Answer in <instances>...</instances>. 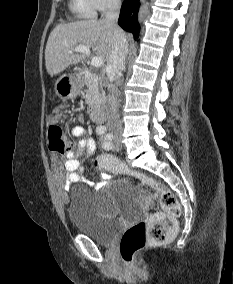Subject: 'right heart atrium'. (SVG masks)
Here are the masks:
<instances>
[{"label":"right heart atrium","instance_id":"obj_1","mask_svg":"<svg viewBox=\"0 0 233 284\" xmlns=\"http://www.w3.org/2000/svg\"><path fill=\"white\" fill-rule=\"evenodd\" d=\"M96 11L106 12L120 5V0H91Z\"/></svg>","mask_w":233,"mask_h":284}]
</instances>
